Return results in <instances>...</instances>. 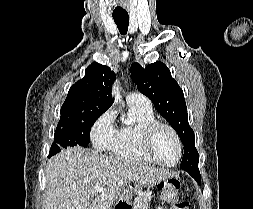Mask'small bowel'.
<instances>
[{
  "mask_svg": "<svg viewBox=\"0 0 253 209\" xmlns=\"http://www.w3.org/2000/svg\"><path fill=\"white\" fill-rule=\"evenodd\" d=\"M157 209H167V208L165 206H159ZM171 209H175V207H173Z\"/></svg>",
  "mask_w": 253,
  "mask_h": 209,
  "instance_id": "small-bowel-1",
  "label": "small bowel"
}]
</instances>
